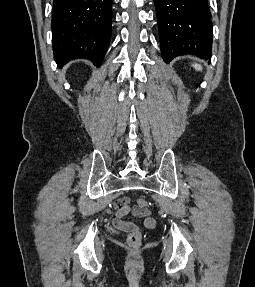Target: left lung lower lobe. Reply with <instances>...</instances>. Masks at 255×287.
<instances>
[{"label": "left lung lower lobe", "instance_id": "0a47b994", "mask_svg": "<svg viewBox=\"0 0 255 287\" xmlns=\"http://www.w3.org/2000/svg\"><path fill=\"white\" fill-rule=\"evenodd\" d=\"M165 62L192 54L210 59L212 22L208 0H154Z\"/></svg>", "mask_w": 255, "mask_h": 287}]
</instances>
